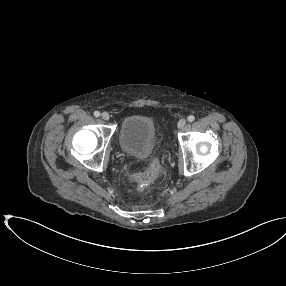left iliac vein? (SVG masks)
<instances>
[{
	"label": "left iliac vein",
	"mask_w": 286,
	"mask_h": 286,
	"mask_svg": "<svg viewBox=\"0 0 286 286\" xmlns=\"http://www.w3.org/2000/svg\"><path fill=\"white\" fill-rule=\"evenodd\" d=\"M185 125H186V119H185V118H182V119H180V120L178 121L177 126H178L179 129L184 128Z\"/></svg>",
	"instance_id": "obj_1"
}]
</instances>
